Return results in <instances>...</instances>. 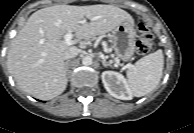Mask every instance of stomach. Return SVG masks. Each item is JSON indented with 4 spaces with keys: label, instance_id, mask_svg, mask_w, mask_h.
<instances>
[{
    "label": "stomach",
    "instance_id": "1",
    "mask_svg": "<svg viewBox=\"0 0 194 133\" xmlns=\"http://www.w3.org/2000/svg\"><path fill=\"white\" fill-rule=\"evenodd\" d=\"M113 50L117 59L129 61L136 50L134 23L124 21L112 30Z\"/></svg>",
    "mask_w": 194,
    "mask_h": 133
}]
</instances>
